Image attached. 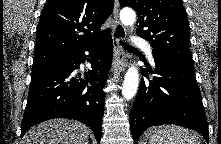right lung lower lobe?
<instances>
[{
  "mask_svg": "<svg viewBox=\"0 0 221 144\" xmlns=\"http://www.w3.org/2000/svg\"><path fill=\"white\" fill-rule=\"evenodd\" d=\"M89 52V57L85 52ZM113 42L108 32L65 55L61 60L32 73L21 137L32 126L53 118H69L85 123L100 143L104 113L103 88L111 66ZM92 69L78 72L85 60Z\"/></svg>",
  "mask_w": 221,
  "mask_h": 144,
  "instance_id": "right-lung-lower-lobe-1",
  "label": "right lung lower lobe"
}]
</instances>
